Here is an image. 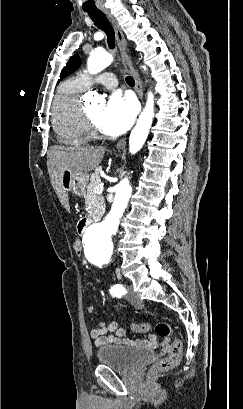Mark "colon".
<instances>
[{
  "instance_id": "5ec220e1",
  "label": "colon",
  "mask_w": 243,
  "mask_h": 409,
  "mask_svg": "<svg viewBox=\"0 0 243 409\" xmlns=\"http://www.w3.org/2000/svg\"><path fill=\"white\" fill-rule=\"evenodd\" d=\"M74 251L79 254L81 252V242L76 239L73 244ZM133 330L141 333H146L150 331V326L145 323H133ZM156 334L163 339L162 345L169 347V354L167 357L161 359L156 365V370H168L176 366L182 357L183 344L180 339H175L171 343L170 335L172 333V328L169 323L161 321L157 323L155 327Z\"/></svg>"
}]
</instances>
